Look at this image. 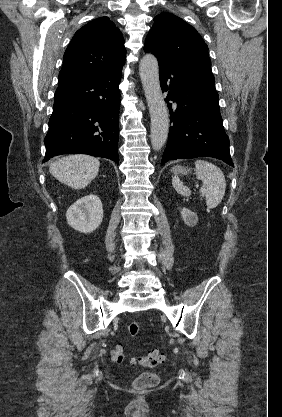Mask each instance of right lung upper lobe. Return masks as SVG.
Here are the masks:
<instances>
[{
	"label": "right lung upper lobe",
	"mask_w": 282,
	"mask_h": 417,
	"mask_svg": "<svg viewBox=\"0 0 282 417\" xmlns=\"http://www.w3.org/2000/svg\"><path fill=\"white\" fill-rule=\"evenodd\" d=\"M126 60L124 38L108 17L80 28L67 47L58 86L122 69Z\"/></svg>",
	"instance_id": "right-lung-upper-lobe-1"
}]
</instances>
